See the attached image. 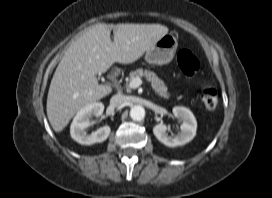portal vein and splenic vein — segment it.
I'll list each match as a JSON object with an SVG mask.
<instances>
[{
	"instance_id": "obj_1",
	"label": "portal vein and splenic vein",
	"mask_w": 272,
	"mask_h": 198,
	"mask_svg": "<svg viewBox=\"0 0 272 198\" xmlns=\"http://www.w3.org/2000/svg\"><path fill=\"white\" fill-rule=\"evenodd\" d=\"M143 81L141 80V78L139 77H136L134 79H132L130 81V83L128 84V87L129 88H132V89H136L138 88L140 85H142Z\"/></svg>"
}]
</instances>
